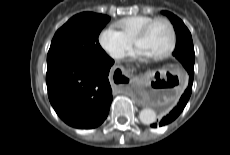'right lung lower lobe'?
<instances>
[{"instance_id":"98d812e1","label":"right lung lower lobe","mask_w":230,"mask_h":155,"mask_svg":"<svg viewBox=\"0 0 230 155\" xmlns=\"http://www.w3.org/2000/svg\"><path fill=\"white\" fill-rule=\"evenodd\" d=\"M114 60L61 61L47 65L50 103L68 125L80 129L99 126L112 102L108 75Z\"/></svg>"}]
</instances>
